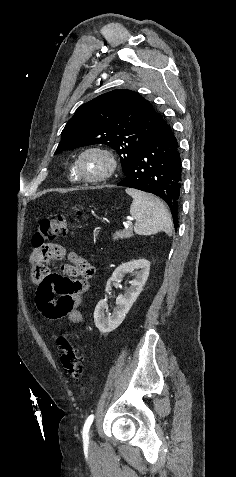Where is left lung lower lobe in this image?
I'll return each mask as SVG.
<instances>
[{
  "instance_id": "left-lung-lower-lobe-1",
  "label": "left lung lower lobe",
  "mask_w": 236,
  "mask_h": 477,
  "mask_svg": "<svg viewBox=\"0 0 236 477\" xmlns=\"http://www.w3.org/2000/svg\"><path fill=\"white\" fill-rule=\"evenodd\" d=\"M178 147L170 126L162 117L153 135L134 155L125 178L118 183L162 198L171 209L175 227L182 182Z\"/></svg>"
}]
</instances>
